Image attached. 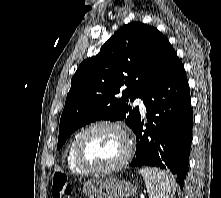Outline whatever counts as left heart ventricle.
Instances as JSON below:
<instances>
[{"label": "left heart ventricle", "mask_w": 221, "mask_h": 198, "mask_svg": "<svg viewBox=\"0 0 221 198\" xmlns=\"http://www.w3.org/2000/svg\"><path fill=\"white\" fill-rule=\"evenodd\" d=\"M122 135L109 128L89 132L81 142L83 160L93 167H107L117 163L125 152Z\"/></svg>", "instance_id": "left-heart-ventricle-1"}]
</instances>
